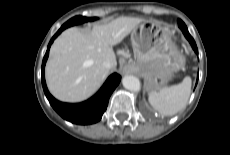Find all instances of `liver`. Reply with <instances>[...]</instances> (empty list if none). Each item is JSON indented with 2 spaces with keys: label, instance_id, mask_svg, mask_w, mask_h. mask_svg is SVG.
I'll return each mask as SVG.
<instances>
[{
  "label": "liver",
  "instance_id": "1",
  "mask_svg": "<svg viewBox=\"0 0 230 155\" xmlns=\"http://www.w3.org/2000/svg\"><path fill=\"white\" fill-rule=\"evenodd\" d=\"M143 21L119 17L105 25H94L88 32L75 27L63 31L51 46L45 69L51 94L64 102L89 98L109 73L103 62L115 59L113 46Z\"/></svg>",
  "mask_w": 230,
  "mask_h": 155
}]
</instances>
